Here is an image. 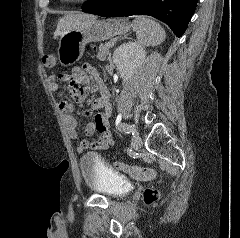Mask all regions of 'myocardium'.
<instances>
[{
    "mask_svg": "<svg viewBox=\"0 0 240 238\" xmlns=\"http://www.w3.org/2000/svg\"><path fill=\"white\" fill-rule=\"evenodd\" d=\"M64 1H67V2H78V3H82V2H88L90 0H64Z\"/></svg>",
    "mask_w": 240,
    "mask_h": 238,
    "instance_id": "1",
    "label": "myocardium"
}]
</instances>
